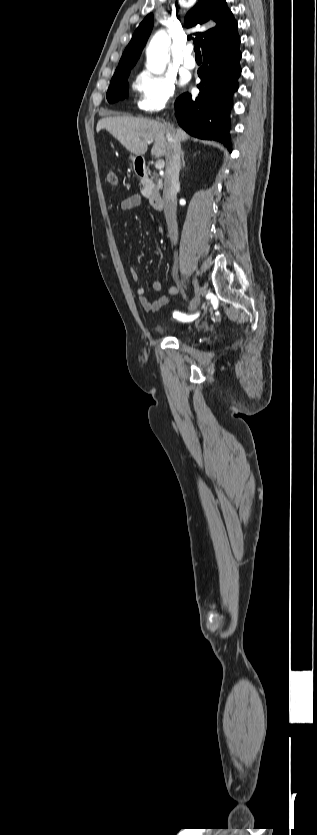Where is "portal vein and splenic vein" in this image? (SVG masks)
I'll return each instance as SVG.
<instances>
[{
    "label": "portal vein and splenic vein",
    "mask_w": 317,
    "mask_h": 835,
    "mask_svg": "<svg viewBox=\"0 0 317 835\" xmlns=\"http://www.w3.org/2000/svg\"><path fill=\"white\" fill-rule=\"evenodd\" d=\"M151 141H152V140H151ZM164 165H165L164 160H158V161L155 163V168H157V169H161V168H163V167H164Z\"/></svg>",
    "instance_id": "18ae733b"
}]
</instances>
